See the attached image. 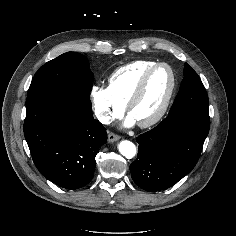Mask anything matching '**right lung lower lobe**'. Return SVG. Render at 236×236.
Wrapping results in <instances>:
<instances>
[{"label": "right lung lower lobe", "mask_w": 236, "mask_h": 236, "mask_svg": "<svg viewBox=\"0 0 236 236\" xmlns=\"http://www.w3.org/2000/svg\"><path fill=\"white\" fill-rule=\"evenodd\" d=\"M24 135L39 172L65 189L88 184L107 142L89 97L50 91L27 95Z\"/></svg>", "instance_id": "obj_1"}]
</instances>
